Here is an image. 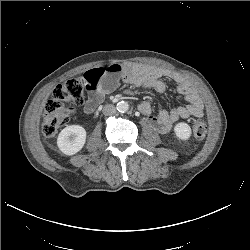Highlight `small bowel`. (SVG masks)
<instances>
[{"instance_id": "1", "label": "small bowel", "mask_w": 250, "mask_h": 250, "mask_svg": "<svg viewBox=\"0 0 250 250\" xmlns=\"http://www.w3.org/2000/svg\"><path fill=\"white\" fill-rule=\"evenodd\" d=\"M163 78L172 79L177 83V90L187 104L171 111L160 110L152 114L150 103L143 102L139 109L147 116L149 123L156 131L168 133L180 119L203 116L204 107L201 97L181 75L167 69L135 63H113L107 67L88 70L84 74L88 91L84 110L86 113H92L101 104L105 95L117 87L120 80L136 87L154 88L163 93L166 90Z\"/></svg>"}]
</instances>
